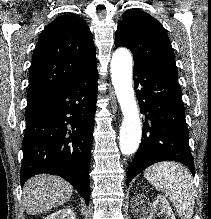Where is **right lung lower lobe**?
Instances as JSON below:
<instances>
[{"label":"right lung lower lobe","instance_id":"98d812e1","mask_svg":"<svg viewBox=\"0 0 211 219\" xmlns=\"http://www.w3.org/2000/svg\"><path fill=\"white\" fill-rule=\"evenodd\" d=\"M97 67L27 102L21 184L40 173L63 177L89 204Z\"/></svg>","mask_w":211,"mask_h":219}]
</instances>
